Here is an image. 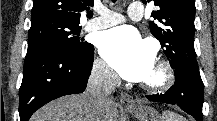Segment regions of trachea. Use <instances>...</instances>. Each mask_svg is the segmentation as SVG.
Returning a JSON list of instances; mask_svg holds the SVG:
<instances>
[{"label": "trachea", "instance_id": "1", "mask_svg": "<svg viewBox=\"0 0 217 121\" xmlns=\"http://www.w3.org/2000/svg\"><path fill=\"white\" fill-rule=\"evenodd\" d=\"M112 2H113V3H115V2H116V0H112Z\"/></svg>", "mask_w": 217, "mask_h": 121}]
</instances>
